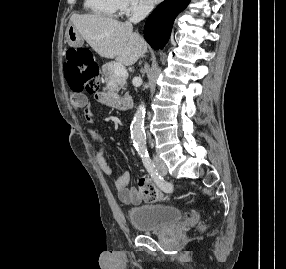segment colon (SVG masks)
I'll return each mask as SVG.
<instances>
[{
  "mask_svg": "<svg viewBox=\"0 0 286 269\" xmlns=\"http://www.w3.org/2000/svg\"><path fill=\"white\" fill-rule=\"evenodd\" d=\"M65 75L74 91L94 93L98 86V66L90 50L71 48L66 53ZM141 197L151 202L163 201L162 190L149 178L141 176L138 181Z\"/></svg>",
  "mask_w": 286,
  "mask_h": 269,
  "instance_id": "colon-1",
  "label": "colon"
}]
</instances>
